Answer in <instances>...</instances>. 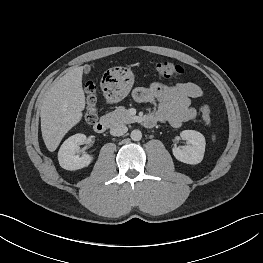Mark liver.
I'll list each match as a JSON object with an SVG mask.
<instances>
[{
  "mask_svg": "<svg viewBox=\"0 0 263 263\" xmlns=\"http://www.w3.org/2000/svg\"><path fill=\"white\" fill-rule=\"evenodd\" d=\"M83 66L71 67L45 92L40 108L41 132L50 152L57 149L65 134L82 119L85 95L82 88Z\"/></svg>",
  "mask_w": 263,
  "mask_h": 263,
  "instance_id": "liver-1",
  "label": "liver"
}]
</instances>
